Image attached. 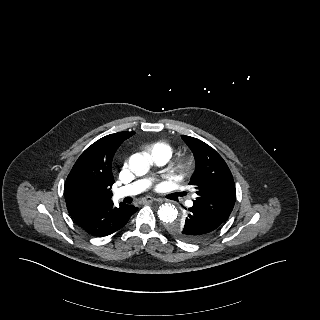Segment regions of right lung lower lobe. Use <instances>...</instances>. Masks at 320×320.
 <instances>
[{"label": "right lung lower lobe", "mask_w": 320, "mask_h": 320, "mask_svg": "<svg viewBox=\"0 0 320 320\" xmlns=\"http://www.w3.org/2000/svg\"><path fill=\"white\" fill-rule=\"evenodd\" d=\"M137 210V207L124 203L115 207L110 201L101 206L73 214L72 217L77 225L88 234L103 237L123 228Z\"/></svg>", "instance_id": "1"}]
</instances>
